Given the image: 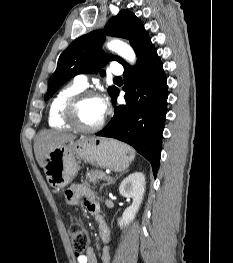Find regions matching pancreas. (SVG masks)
Wrapping results in <instances>:
<instances>
[{"label":"pancreas","instance_id":"1","mask_svg":"<svg viewBox=\"0 0 233 263\" xmlns=\"http://www.w3.org/2000/svg\"><path fill=\"white\" fill-rule=\"evenodd\" d=\"M86 179L93 184L94 186L98 184L101 180L108 179V176L105 174V172L101 170H91L87 172Z\"/></svg>","mask_w":233,"mask_h":263}]
</instances>
